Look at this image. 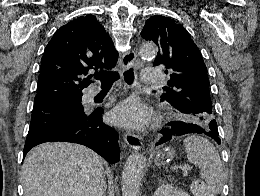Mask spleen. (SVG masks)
Masks as SVG:
<instances>
[{
  "label": "spleen",
  "instance_id": "spleen-1",
  "mask_svg": "<svg viewBox=\"0 0 260 196\" xmlns=\"http://www.w3.org/2000/svg\"><path fill=\"white\" fill-rule=\"evenodd\" d=\"M187 160L201 170V176L212 194H221L224 172L220 156L213 144L202 136H187L183 142Z\"/></svg>",
  "mask_w": 260,
  "mask_h": 196
}]
</instances>
